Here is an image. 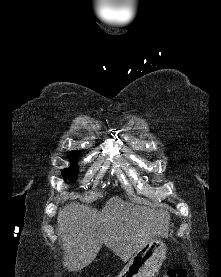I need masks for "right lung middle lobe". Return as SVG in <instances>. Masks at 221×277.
Returning a JSON list of instances; mask_svg holds the SVG:
<instances>
[{"instance_id":"1","label":"right lung middle lobe","mask_w":221,"mask_h":277,"mask_svg":"<svg viewBox=\"0 0 221 277\" xmlns=\"http://www.w3.org/2000/svg\"><path fill=\"white\" fill-rule=\"evenodd\" d=\"M77 172H78L77 166L74 163H72L71 167L62 171V175L64 178L69 179V181H70V180L76 178Z\"/></svg>"}]
</instances>
